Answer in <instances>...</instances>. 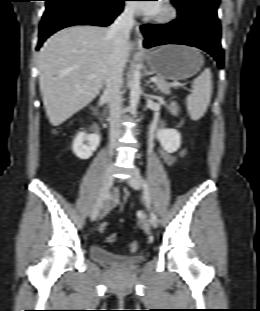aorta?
<instances>
[{
	"label": "aorta",
	"mask_w": 260,
	"mask_h": 311,
	"mask_svg": "<svg viewBox=\"0 0 260 311\" xmlns=\"http://www.w3.org/2000/svg\"><path fill=\"white\" fill-rule=\"evenodd\" d=\"M141 72L140 65H136L135 69L132 71L130 80V109L134 112L139 104L141 87Z\"/></svg>",
	"instance_id": "aorta-1"
}]
</instances>
